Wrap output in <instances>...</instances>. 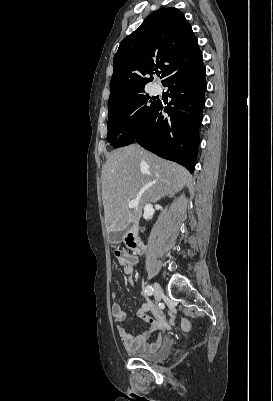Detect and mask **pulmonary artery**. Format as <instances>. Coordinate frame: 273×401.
<instances>
[{"label":"pulmonary artery","instance_id":"e3ab8cb5","mask_svg":"<svg viewBox=\"0 0 273 401\" xmlns=\"http://www.w3.org/2000/svg\"><path fill=\"white\" fill-rule=\"evenodd\" d=\"M155 86H158V83H155Z\"/></svg>","mask_w":273,"mask_h":401}]
</instances>
